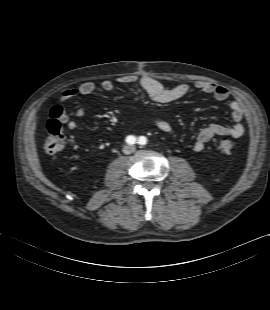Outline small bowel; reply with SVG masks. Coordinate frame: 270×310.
<instances>
[{
    "label": "small bowel",
    "instance_id": "c3829d8e",
    "mask_svg": "<svg viewBox=\"0 0 270 310\" xmlns=\"http://www.w3.org/2000/svg\"><path fill=\"white\" fill-rule=\"evenodd\" d=\"M118 82L121 84H138L152 101L160 104L181 100L185 98L191 91L190 85L186 83L167 88L158 80L146 75L122 76L118 78ZM114 85V82L109 79L103 80L101 82V88L104 91H111L114 88ZM194 88L200 92L211 95L217 101H226L230 97V92L226 87L215 83L198 81L195 83ZM95 90L96 85L93 82L86 81L81 83L78 87L69 88L63 91L60 97V103L57 106L62 109L60 121L61 123L65 124L68 129H76L77 122L70 118L69 114L64 108V104L78 95H90L94 93ZM228 105L231 118L233 120V125L225 126L221 124H210L202 128L198 132L193 144L195 151H201L205 144L214 137L231 136L233 138H240L244 134V126L242 124L244 109L241 103L238 100L233 99L229 101ZM132 110L135 113L139 112L136 107H133ZM75 113L77 117L84 118L85 110L83 105H78ZM151 119L160 131L164 133H171L173 131L172 124L161 115H151Z\"/></svg>",
    "mask_w": 270,
    "mask_h": 310
}]
</instances>
